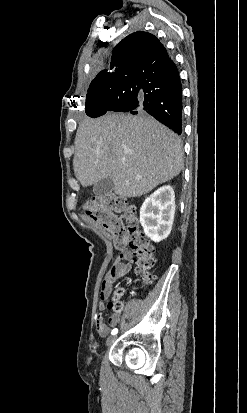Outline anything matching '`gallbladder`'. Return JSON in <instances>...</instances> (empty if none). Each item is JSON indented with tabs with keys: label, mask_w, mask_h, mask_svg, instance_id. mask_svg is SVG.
<instances>
[{
	"label": "gallbladder",
	"mask_w": 247,
	"mask_h": 413,
	"mask_svg": "<svg viewBox=\"0 0 247 413\" xmlns=\"http://www.w3.org/2000/svg\"><path fill=\"white\" fill-rule=\"evenodd\" d=\"M114 188V182L112 178H102L99 182H96L93 186V192H95L96 196H110L112 194V190Z\"/></svg>",
	"instance_id": "gallbladder-1"
}]
</instances>
